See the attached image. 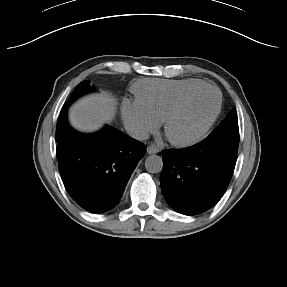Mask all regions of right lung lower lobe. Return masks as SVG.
I'll return each mask as SVG.
<instances>
[{"label":"right lung lower lobe","instance_id":"1","mask_svg":"<svg viewBox=\"0 0 287 287\" xmlns=\"http://www.w3.org/2000/svg\"><path fill=\"white\" fill-rule=\"evenodd\" d=\"M145 153L143 143L109 125L91 135L69 127L57 147L66 190L82 208L96 213L117 205Z\"/></svg>","mask_w":287,"mask_h":287}]
</instances>
